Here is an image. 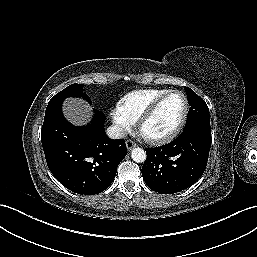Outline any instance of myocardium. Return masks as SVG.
Wrapping results in <instances>:
<instances>
[{
    "label": "myocardium",
    "instance_id": "obj_1",
    "mask_svg": "<svg viewBox=\"0 0 257 257\" xmlns=\"http://www.w3.org/2000/svg\"><path fill=\"white\" fill-rule=\"evenodd\" d=\"M173 94H179L182 96L183 101H184V110H183V114L180 118V121L178 122V124L175 126V128L170 131L169 133L162 135V136H157V137H151V136H147L144 132H143V128L144 125L146 124V122L156 113V111L158 110V108L161 106V104L171 95ZM188 113H189V102L188 99L186 97V95L179 90H170L167 93L163 94L162 96H160L159 98H157L144 112L143 114L140 116V118L138 119L137 122V126H138V132L141 135V137L151 143V144H156V145H160V144H165L168 143L170 141H172L174 138H176L178 136V134L181 132V130L183 129L187 117H188Z\"/></svg>",
    "mask_w": 257,
    "mask_h": 257
}]
</instances>
